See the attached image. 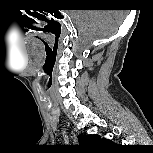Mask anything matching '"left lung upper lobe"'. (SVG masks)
I'll return each mask as SVG.
<instances>
[{"mask_svg": "<svg viewBox=\"0 0 153 153\" xmlns=\"http://www.w3.org/2000/svg\"><path fill=\"white\" fill-rule=\"evenodd\" d=\"M79 143L80 146L86 147V148H105L113 145L109 140L107 139H101L97 135H80L79 136Z\"/></svg>", "mask_w": 153, "mask_h": 153, "instance_id": "5c2ea615", "label": "left lung upper lobe"}]
</instances>
